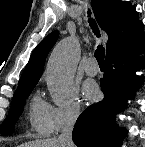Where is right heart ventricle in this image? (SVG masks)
<instances>
[{
	"instance_id": "right-heart-ventricle-1",
	"label": "right heart ventricle",
	"mask_w": 145,
	"mask_h": 147,
	"mask_svg": "<svg viewBox=\"0 0 145 147\" xmlns=\"http://www.w3.org/2000/svg\"><path fill=\"white\" fill-rule=\"evenodd\" d=\"M47 111L48 104L39 95H35L30 103L29 122L31 129L38 135L44 136L50 133Z\"/></svg>"
}]
</instances>
